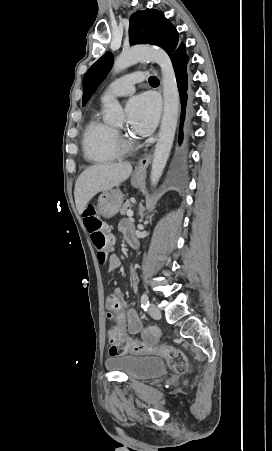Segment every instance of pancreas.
I'll return each mask as SVG.
<instances>
[{
    "label": "pancreas",
    "instance_id": "obj_1",
    "mask_svg": "<svg viewBox=\"0 0 272 451\" xmlns=\"http://www.w3.org/2000/svg\"><path fill=\"white\" fill-rule=\"evenodd\" d=\"M128 208H131V204H130L129 200H127V202H125V204H123V206L120 210V214H122V216H125Z\"/></svg>",
    "mask_w": 272,
    "mask_h": 451
}]
</instances>
